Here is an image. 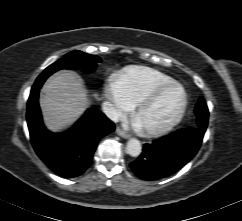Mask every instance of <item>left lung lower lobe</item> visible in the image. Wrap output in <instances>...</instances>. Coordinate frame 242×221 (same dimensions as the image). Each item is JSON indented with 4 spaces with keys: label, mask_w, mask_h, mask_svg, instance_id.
Returning a JSON list of instances; mask_svg holds the SVG:
<instances>
[{
    "label": "left lung lower lobe",
    "mask_w": 242,
    "mask_h": 221,
    "mask_svg": "<svg viewBox=\"0 0 242 221\" xmlns=\"http://www.w3.org/2000/svg\"><path fill=\"white\" fill-rule=\"evenodd\" d=\"M207 126L184 128L144 144L130 167L142 180H156L181 169L198 152Z\"/></svg>",
    "instance_id": "1"
}]
</instances>
